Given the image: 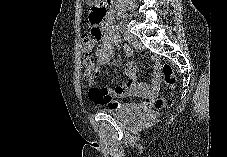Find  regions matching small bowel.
<instances>
[{"label":"small bowel","mask_w":227,"mask_h":157,"mask_svg":"<svg viewBox=\"0 0 227 157\" xmlns=\"http://www.w3.org/2000/svg\"><path fill=\"white\" fill-rule=\"evenodd\" d=\"M99 33L101 43L96 50L97 63L101 66L114 67L118 63L117 59L114 58V44L117 42L114 39L113 33ZM124 73L127 78L126 82L114 88L90 85L88 92L90 100L96 104L107 105L109 108L129 111L150 107L160 87L157 68L155 69L150 85L137 81L136 65L132 61L125 65ZM131 95L143 98L142 102H120L117 100V98Z\"/></svg>","instance_id":"obj_1"}]
</instances>
